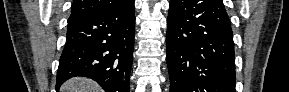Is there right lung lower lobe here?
Wrapping results in <instances>:
<instances>
[{
  "label": "right lung lower lobe",
  "mask_w": 289,
  "mask_h": 92,
  "mask_svg": "<svg viewBox=\"0 0 289 92\" xmlns=\"http://www.w3.org/2000/svg\"><path fill=\"white\" fill-rule=\"evenodd\" d=\"M134 30V0L68 20L56 90L69 78L84 76L106 92H129Z\"/></svg>",
  "instance_id": "right-lung-lower-lobe-1"
}]
</instances>
